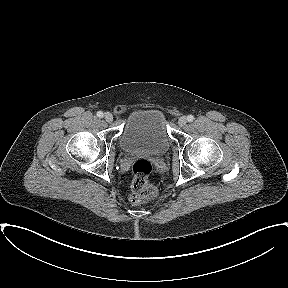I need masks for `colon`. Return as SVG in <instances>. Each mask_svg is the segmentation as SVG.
<instances>
[{
	"label": "colon",
	"mask_w": 288,
	"mask_h": 288,
	"mask_svg": "<svg viewBox=\"0 0 288 288\" xmlns=\"http://www.w3.org/2000/svg\"><path fill=\"white\" fill-rule=\"evenodd\" d=\"M152 169L153 166L151 162L146 159H139L133 163L132 171L134 176L131 185V194L129 196V201L132 204L137 205L149 201L156 196V188L148 181Z\"/></svg>",
	"instance_id": "colon-1"
}]
</instances>
